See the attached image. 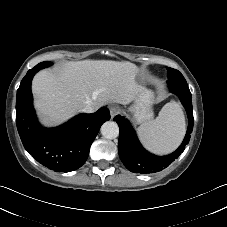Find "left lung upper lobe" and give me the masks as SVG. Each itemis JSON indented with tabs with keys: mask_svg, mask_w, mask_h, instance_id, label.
I'll return each mask as SVG.
<instances>
[{
	"mask_svg": "<svg viewBox=\"0 0 227 227\" xmlns=\"http://www.w3.org/2000/svg\"><path fill=\"white\" fill-rule=\"evenodd\" d=\"M167 71H168V79L178 80V81L185 80L181 72H179L178 70L167 67Z\"/></svg>",
	"mask_w": 227,
	"mask_h": 227,
	"instance_id": "5c2ea615",
	"label": "left lung upper lobe"
}]
</instances>
